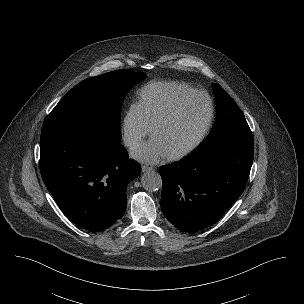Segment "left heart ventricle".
I'll return each instance as SVG.
<instances>
[{
    "label": "left heart ventricle",
    "instance_id": "obj_1",
    "mask_svg": "<svg viewBox=\"0 0 304 304\" xmlns=\"http://www.w3.org/2000/svg\"><path fill=\"white\" fill-rule=\"evenodd\" d=\"M208 103L203 97L186 101L167 122L155 132L171 154L189 145L202 130L208 116Z\"/></svg>",
    "mask_w": 304,
    "mask_h": 304
}]
</instances>
